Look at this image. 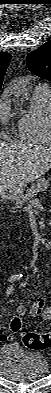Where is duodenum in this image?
Here are the masks:
<instances>
[{"instance_id":"410a0bca","label":"duodenum","mask_w":51,"mask_h":393,"mask_svg":"<svg viewBox=\"0 0 51 393\" xmlns=\"http://www.w3.org/2000/svg\"><path fill=\"white\" fill-rule=\"evenodd\" d=\"M3 198L6 199V200H8V199L10 198V196H9L7 193H5V194L3 195Z\"/></svg>"}]
</instances>
